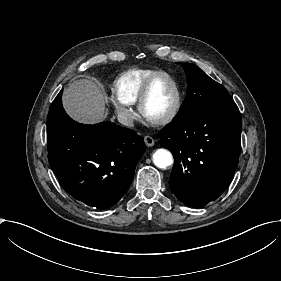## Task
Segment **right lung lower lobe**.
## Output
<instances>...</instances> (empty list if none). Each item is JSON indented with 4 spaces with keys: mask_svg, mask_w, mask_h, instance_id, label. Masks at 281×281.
Returning a JSON list of instances; mask_svg holds the SVG:
<instances>
[{
    "mask_svg": "<svg viewBox=\"0 0 281 281\" xmlns=\"http://www.w3.org/2000/svg\"><path fill=\"white\" fill-rule=\"evenodd\" d=\"M62 92L48 113L49 164L72 197L97 209L110 208L132 183L146 149L143 139L110 122L84 125L73 121L62 107Z\"/></svg>",
    "mask_w": 281,
    "mask_h": 281,
    "instance_id": "1",
    "label": "right lung lower lobe"
}]
</instances>
